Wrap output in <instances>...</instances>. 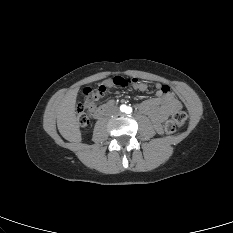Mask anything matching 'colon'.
I'll return each mask as SVG.
<instances>
[{
    "label": "colon",
    "instance_id": "colon-1",
    "mask_svg": "<svg viewBox=\"0 0 233 233\" xmlns=\"http://www.w3.org/2000/svg\"><path fill=\"white\" fill-rule=\"evenodd\" d=\"M137 79L135 78H124L117 76L110 81H106L97 88L91 89L86 88L84 90L85 100L83 103H79L77 106V120L82 125L85 126L88 123V117L86 114L87 110H91L93 105L97 100L102 98L107 89L112 86L125 87L135 84ZM187 120V115L183 111H178L172 115L165 123V132L167 134L174 133L178 128L182 127Z\"/></svg>",
    "mask_w": 233,
    "mask_h": 233
}]
</instances>
